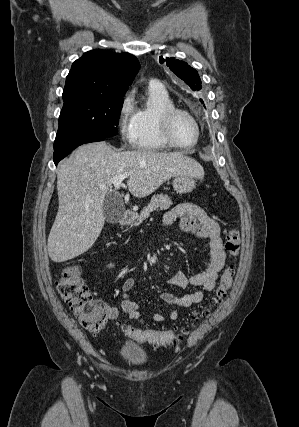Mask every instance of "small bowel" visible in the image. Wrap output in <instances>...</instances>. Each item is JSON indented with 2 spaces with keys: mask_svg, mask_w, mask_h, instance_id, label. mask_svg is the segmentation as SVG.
<instances>
[{
  "mask_svg": "<svg viewBox=\"0 0 299 427\" xmlns=\"http://www.w3.org/2000/svg\"><path fill=\"white\" fill-rule=\"evenodd\" d=\"M174 222H179L182 229L190 234L199 235L209 240V253L202 257V270L190 277L183 273L173 275L169 281L178 287L194 286L199 289L183 295L176 296L171 292H163L161 298L168 304L175 307L168 316L163 314H154L153 320L156 322H165L166 320H177L180 317L179 308L191 307L199 304L206 292L215 288L219 273L224 267L226 253L221 237V228L219 224L208 216L199 206L193 203H182L168 211L163 218V226L168 227ZM114 264L110 263L103 267L104 270H111ZM135 285L134 278H128L122 285L121 306L123 312L131 321L142 323L144 318L141 315L137 304L130 298L129 292ZM107 317L110 320H116L119 316L117 308L105 304Z\"/></svg>",
  "mask_w": 299,
  "mask_h": 427,
  "instance_id": "c3829d8e",
  "label": "small bowel"
}]
</instances>
